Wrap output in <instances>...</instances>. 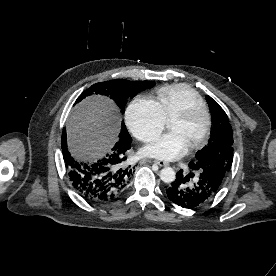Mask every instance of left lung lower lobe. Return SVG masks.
Masks as SVG:
<instances>
[{"label":"left lung lower lobe","instance_id":"left-lung-lower-lobe-1","mask_svg":"<svg viewBox=\"0 0 276 276\" xmlns=\"http://www.w3.org/2000/svg\"><path fill=\"white\" fill-rule=\"evenodd\" d=\"M190 173L183 174L180 170L176 180L166 190L168 198L183 208H196L209 202L221 189V177L210 173L207 167L197 170L192 162L189 163Z\"/></svg>","mask_w":276,"mask_h":276}]
</instances>
